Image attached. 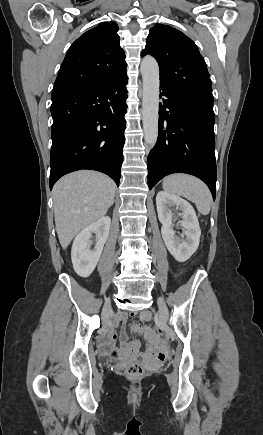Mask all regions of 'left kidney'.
Here are the masks:
<instances>
[{
	"instance_id": "left-kidney-1",
	"label": "left kidney",
	"mask_w": 263,
	"mask_h": 435,
	"mask_svg": "<svg viewBox=\"0 0 263 435\" xmlns=\"http://www.w3.org/2000/svg\"><path fill=\"white\" fill-rule=\"evenodd\" d=\"M156 206L159 221L162 223L161 234L170 254L178 261L185 262L197 250L200 242L201 230L196 213L189 202L166 191L158 192ZM173 209L180 210L179 223L185 231L181 237L174 231Z\"/></svg>"
}]
</instances>
